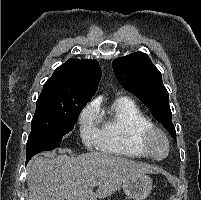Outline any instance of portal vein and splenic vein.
Masks as SVG:
<instances>
[{
    "label": "portal vein and splenic vein",
    "instance_id": "18ae733b",
    "mask_svg": "<svg viewBox=\"0 0 201 200\" xmlns=\"http://www.w3.org/2000/svg\"><path fill=\"white\" fill-rule=\"evenodd\" d=\"M98 185V182H96V181H94V182H92V186L94 187V186H97Z\"/></svg>",
    "mask_w": 201,
    "mask_h": 200
}]
</instances>
